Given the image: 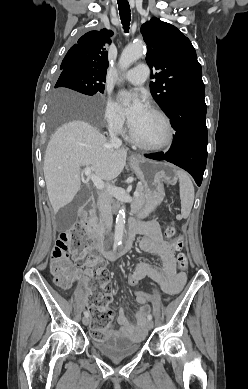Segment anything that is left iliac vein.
<instances>
[{
    "mask_svg": "<svg viewBox=\"0 0 248 389\" xmlns=\"http://www.w3.org/2000/svg\"><path fill=\"white\" fill-rule=\"evenodd\" d=\"M153 326H154L153 321H152V320H149V321L147 322V328H148L149 330H151V329L153 328Z\"/></svg>",
    "mask_w": 248,
    "mask_h": 389,
    "instance_id": "1",
    "label": "left iliac vein"
}]
</instances>
